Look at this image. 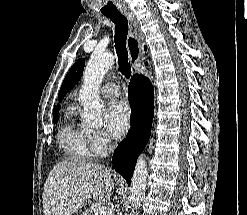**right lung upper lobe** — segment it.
I'll list each match as a JSON object with an SVG mask.
<instances>
[{"mask_svg": "<svg viewBox=\"0 0 247 215\" xmlns=\"http://www.w3.org/2000/svg\"><path fill=\"white\" fill-rule=\"evenodd\" d=\"M59 109H60V105L55 106L53 114L58 113Z\"/></svg>", "mask_w": 247, "mask_h": 215, "instance_id": "right-lung-upper-lobe-1", "label": "right lung upper lobe"}]
</instances>
